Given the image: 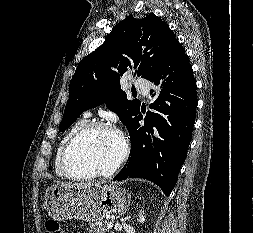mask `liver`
Masks as SVG:
<instances>
[{
	"label": "liver",
	"mask_w": 253,
	"mask_h": 233,
	"mask_svg": "<svg viewBox=\"0 0 253 233\" xmlns=\"http://www.w3.org/2000/svg\"><path fill=\"white\" fill-rule=\"evenodd\" d=\"M58 184H63V185H68V186H72V187H87V186H91V185H100L99 182H89V183H64V182H59Z\"/></svg>",
	"instance_id": "obj_1"
}]
</instances>
